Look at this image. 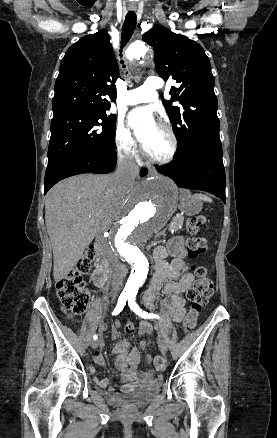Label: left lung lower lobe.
<instances>
[{"label": "left lung lower lobe", "instance_id": "1", "mask_svg": "<svg viewBox=\"0 0 277 438\" xmlns=\"http://www.w3.org/2000/svg\"><path fill=\"white\" fill-rule=\"evenodd\" d=\"M158 172L172 178L182 188L210 192L225 203V170L220 137L212 134L187 157L170 165L156 166Z\"/></svg>", "mask_w": 277, "mask_h": 438}]
</instances>
